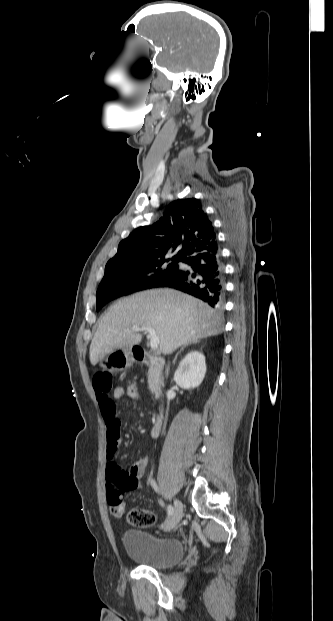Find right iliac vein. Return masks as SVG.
I'll use <instances>...</instances> for the list:
<instances>
[{"label": "right iliac vein", "instance_id": "right-iliac-vein-1", "mask_svg": "<svg viewBox=\"0 0 333 621\" xmlns=\"http://www.w3.org/2000/svg\"><path fill=\"white\" fill-rule=\"evenodd\" d=\"M182 512H183V507H182L181 501H179L178 499H175L174 500V512L172 516L170 517V519L166 522L164 529L168 531L173 529L179 523L182 517Z\"/></svg>", "mask_w": 333, "mask_h": 621}]
</instances>
